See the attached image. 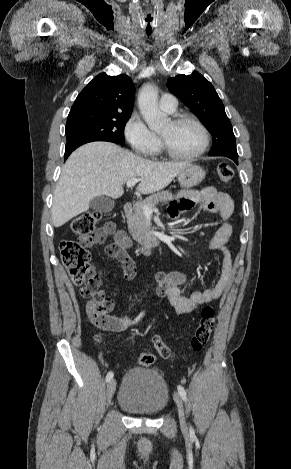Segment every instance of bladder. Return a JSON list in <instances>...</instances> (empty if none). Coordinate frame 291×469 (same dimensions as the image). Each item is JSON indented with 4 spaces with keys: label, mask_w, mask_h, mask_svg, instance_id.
<instances>
[{
    "label": "bladder",
    "mask_w": 291,
    "mask_h": 469,
    "mask_svg": "<svg viewBox=\"0 0 291 469\" xmlns=\"http://www.w3.org/2000/svg\"><path fill=\"white\" fill-rule=\"evenodd\" d=\"M169 400V390L156 371L134 367L123 379L118 404L128 413L154 416L163 411Z\"/></svg>",
    "instance_id": "1"
}]
</instances>
